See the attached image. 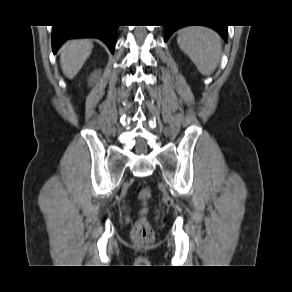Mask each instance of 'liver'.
I'll return each instance as SVG.
<instances>
[{"instance_id":"liver-1","label":"liver","mask_w":292,"mask_h":292,"mask_svg":"<svg viewBox=\"0 0 292 292\" xmlns=\"http://www.w3.org/2000/svg\"><path fill=\"white\" fill-rule=\"evenodd\" d=\"M93 44L90 40H71L61 49L60 64L63 73L70 79L74 78L90 56Z\"/></svg>"}]
</instances>
